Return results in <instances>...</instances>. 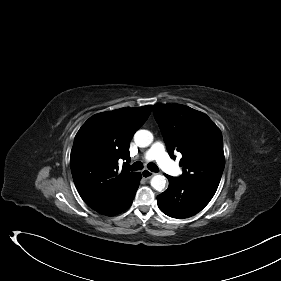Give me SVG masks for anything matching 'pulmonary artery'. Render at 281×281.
Listing matches in <instances>:
<instances>
[{
	"label": "pulmonary artery",
	"mask_w": 281,
	"mask_h": 281,
	"mask_svg": "<svg viewBox=\"0 0 281 281\" xmlns=\"http://www.w3.org/2000/svg\"><path fill=\"white\" fill-rule=\"evenodd\" d=\"M146 160H156L159 166L167 173L173 176L180 175L181 169L168 157L164 144L160 141L155 142L146 152Z\"/></svg>",
	"instance_id": "1"
}]
</instances>
